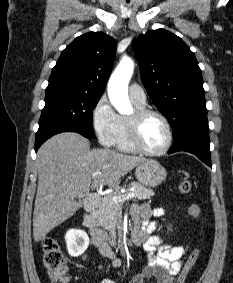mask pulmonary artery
<instances>
[{"mask_svg":"<svg viewBox=\"0 0 233 283\" xmlns=\"http://www.w3.org/2000/svg\"><path fill=\"white\" fill-rule=\"evenodd\" d=\"M129 97L133 103L137 105L146 104V95L144 90L137 84H132L129 87Z\"/></svg>","mask_w":233,"mask_h":283,"instance_id":"pulmonary-artery-1","label":"pulmonary artery"}]
</instances>
